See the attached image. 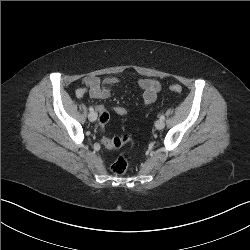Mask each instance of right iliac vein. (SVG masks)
<instances>
[{"instance_id":"63e3f726","label":"right iliac vein","mask_w":250,"mask_h":250,"mask_svg":"<svg viewBox=\"0 0 250 250\" xmlns=\"http://www.w3.org/2000/svg\"><path fill=\"white\" fill-rule=\"evenodd\" d=\"M88 119L91 121V122H94L96 121L97 119V113L96 112H90L89 115H88Z\"/></svg>"}]
</instances>
